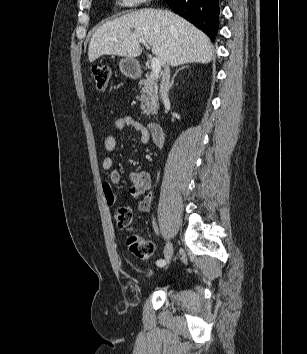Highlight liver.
I'll return each mask as SVG.
<instances>
[{
    "label": "liver",
    "instance_id": "obj_1",
    "mask_svg": "<svg viewBox=\"0 0 307 354\" xmlns=\"http://www.w3.org/2000/svg\"><path fill=\"white\" fill-rule=\"evenodd\" d=\"M140 38L151 45L162 66L209 63L213 56L207 35L182 17L168 10L141 9L101 25L90 40L89 61L102 55L138 57Z\"/></svg>",
    "mask_w": 307,
    "mask_h": 354
}]
</instances>
